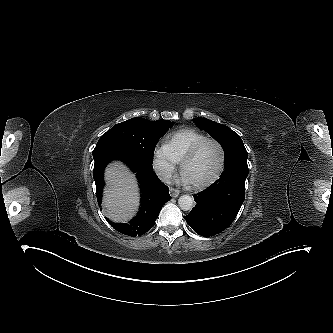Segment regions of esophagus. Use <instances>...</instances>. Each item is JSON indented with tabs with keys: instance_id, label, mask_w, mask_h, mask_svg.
Instances as JSON below:
<instances>
[{
	"instance_id": "34e87169",
	"label": "esophagus",
	"mask_w": 333,
	"mask_h": 333,
	"mask_svg": "<svg viewBox=\"0 0 333 333\" xmlns=\"http://www.w3.org/2000/svg\"><path fill=\"white\" fill-rule=\"evenodd\" d=\"M179 194H180L179 190H177L175 188H172V187L170 188V195H171V197L176 198V197L179 196Z\"/></svg>"
}]
</instances>
